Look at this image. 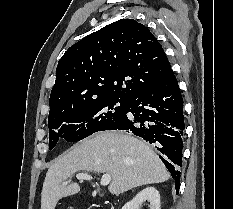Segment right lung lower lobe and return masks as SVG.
Masks as SVG:
<instances>
[{
    "label": "right lung lower lobe",
    "mask_w": 233,
    "mask_h": 209,
    "mask_svg": "<svg viewBox=\"0 0 233 209\" xmlns=\"http://www.w3.org/2000/svg\"><path fill=\"white\" fill-rule=\"evenodd\" d=\"M183 99L172 71L157 85L134 94L129 100L124 117L106 130H127L153 144L172 177L176 193L180 187L182 166Z\"/></svg>",
    "instance_id": "98d812e1"
}]
</instances>
